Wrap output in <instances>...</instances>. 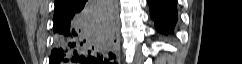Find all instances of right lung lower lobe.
<instances>
[{
	"instance_id": "98d812e1",
	"label": "right lung lower lobe",
	"mask_w": 242,
	"mask_h": 64,
	"mask_svg": "<svg viewBox=\"0 0 242 64\" xmlns=\"http://www.w3.org/2000/svg\"><path fill=\"white\" fill-rule=\"evenodd\" d=\"M49 64H115L116 0H72L54 13Z\"/></svg>"
}]
</instances>
